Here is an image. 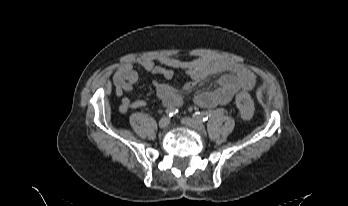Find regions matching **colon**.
<instances>
[{"label": "colon", "instance_id": "1", "mask_svg": "<svg viewBox=\"0 0 348 206\" xmlns=\"http://www.w3.org/2000/svg\"><path fill=\"white\" fill-rule=\"evenodd\" d=\"M235 106L244 120L252 118L254 111L253 102L246 92L240 91L236 94Z\"/></svg>", "mask_w": 348, "mask_h": 206}]
</instances>
